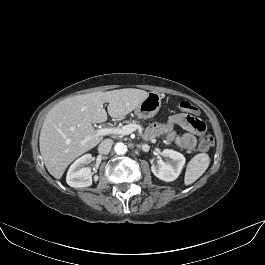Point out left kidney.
Segmentation results:
<instances>
[{
	"label": "left kidney",
	"mask_w": 265,
	"mask_h": 265,
	"mask_svg": "<svg viewBox=\"0 0 265 265\" xmlns=\"http://www.w3.org/2000/svg\"><path fill=\"white\" fill-rule=\"evenodd\" d=\"M161 154L164 156V160L159 158L157 164L151 166V170L162 181H174L182 171L185 157L172 149H164Z\"/></svg>",
	"instance_id": "5707ae66"
}]
</instances>
